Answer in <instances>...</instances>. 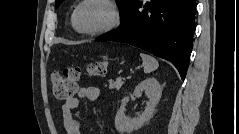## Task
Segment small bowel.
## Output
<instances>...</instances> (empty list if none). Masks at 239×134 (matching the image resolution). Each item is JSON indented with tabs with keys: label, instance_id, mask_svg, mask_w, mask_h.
Masks as SVG:
<instances>
[{
	"label": "small bowel",
	"instance_id": "obj_1",
	"mask_svg": "<svg viewBox=\"0 0 239 134\" xmlns=\"http://www.w3.org/2000/svg\"><path fill=\"white\" fill-rule=\"evenodd\" d=\"M99 93L100 92L97 87H80L75 96L65 101L61 110L67 134H82L81 124L74 116V111L78 108L80 99L94 101L98 99Z\"/></svg>",
	"mask_w": 239,
	"mask_h": 134
}]
</instances>
